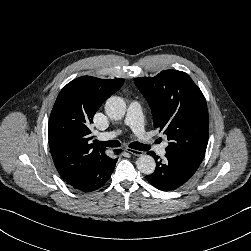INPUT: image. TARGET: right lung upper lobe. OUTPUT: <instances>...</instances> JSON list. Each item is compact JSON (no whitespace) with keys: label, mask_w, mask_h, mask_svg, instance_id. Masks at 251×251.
<instances>
[{"label":"right lung upper lobe","mask_w":251,"mask_h":251,"mask_svg":"<svg viewBox=\"0 0 251 251\" xmlns=\"http://www.w3.org/2000/svg\"><path fill=\"white\" fill-rule=\"evenodd\" d=\"M124 79L82 76L60 91L48 125L51 156L59 174L74 182L86 166L106 156L104 147L90 144V123L102 103L118 91Z\"/></svg>","instance_id":"1"}]
</instances>
